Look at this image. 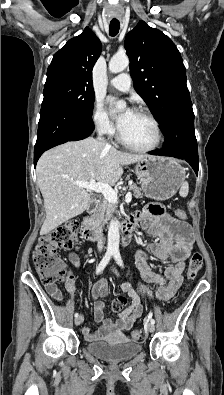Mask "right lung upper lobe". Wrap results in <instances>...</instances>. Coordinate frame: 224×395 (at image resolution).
<instances>
[{
  "instance_id": "right-lung-upper-lobe-1",
  "label": "right lung upper lobe",
  "mask_w": 224,
  "mask_h": 395,
  "mask_svg": "<svg viewBox=\"0 0 224 395\" xmlns=\"http://www.w3.org/2000/svg\"><path fill=\"white\" fill-rule=\"evenodd\" d=\"M100 53L99 39L86 27L54 54L47 77L65 76L92 85V69Z\"/></svg>"
}]
</instances>
